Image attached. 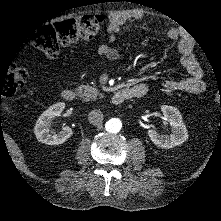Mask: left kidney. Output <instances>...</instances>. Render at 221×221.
Listing matches in <instances>:
<instances>
[{"mask_svg": "<svg viewBox=\"0 0 221 221\" xmlns=\"http://www.w3.org/2000/svg\"><path fill=\"white\" fill-rule=\"evenodd\" d=\"M161 111L170 124L171 133L160 135L155 128H152L148 130V136L155 145L161 148L169 149L181 145L188 139V131L180 111L168 105H161Z\"/></svg>", "mask_w": 221, "mask_h": 221, "instance_id": "5707ae66", "label": "left kidney"}]
</instances>
